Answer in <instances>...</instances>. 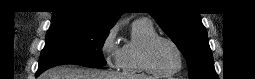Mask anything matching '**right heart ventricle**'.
I'll list each match as a JSON object with an SVG mask.
<instances>
[{"label": "right heart ventricle", "instance_id": "right-heart-ventricle-1", "mask_svg": "<svg viewBox=\"0 0 255 79\" xmlns=\"http://www.w3.org/2000/svg\"><path fill=\"white\" fill-rule=\"evenodd\" d=\"M156 35L151 24L133 22L131 25L130 40L121 48L120 68L123 73L131 75H145L149 72L142 63V50L145 43Z\"/></svg>", "mask_w": 255, "mask_h": 79}]
</instances>
